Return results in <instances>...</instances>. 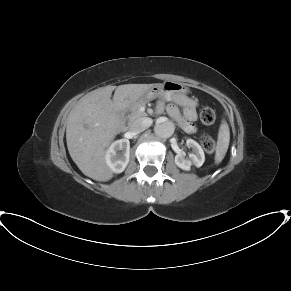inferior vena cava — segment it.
<instances>
[{
  "label": "inferior vena cava",
  "mask_w": 291,
  "mask_h": 291,
  "mask_svg": "<svg viewBox=\"0 0 291 291\" xmlns=\"http://www.w3.org/2000/svg\"><path fill=\"white\" fill-rule=\"evenodd\" d=\"M152 124L151 118H139L133 121L129 126V131L133 135L139 134L146 130Z\"/></svg>",
  "instance_id": "obj_1"
}]
</instances>
